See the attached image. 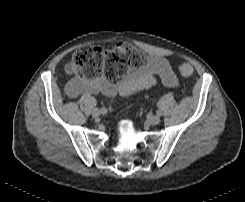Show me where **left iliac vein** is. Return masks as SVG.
Wrapping results in <instances>:
<instances>
[{
  "label": "left iliac vein",
  "mask_w": 245,
  "mask_h": 202,
  "mask_svg": "<svg viewBox=\"0 0 245 202\" xmlns=\"http://www.w3.org/2000/svg\"><path fill=\"white\" fill-rule=\"evenodd\" d=\"M160 122V117L158 115L152 116L148 119V123L151 125H157Z\"/></svg>",
  "instance_id": "4c4485c4"
}]
</instances>
